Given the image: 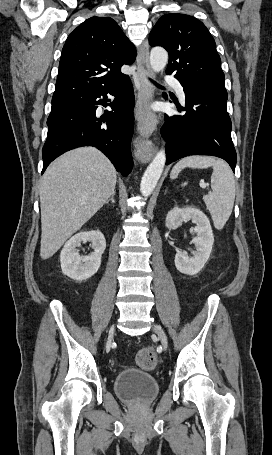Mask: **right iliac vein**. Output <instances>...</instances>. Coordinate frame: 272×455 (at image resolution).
Segmentation results:
<instances>
[{"label": "right iliac vein", "mask_w": 272, "mask_h": 455, "mask_svg": "<svg viewBox=\"0 0 272 455\" xmlns=\"http://www.w3.org/2000/svg\"><path fill=\"white\" fill-rule=\"evenodd\" d=\"M114 326H112L110 332H109V337H108V341H107V346H110L111 343H112V339H113V334H114Z\"/></svg>", "instance_id": "obj_1"}]
</instances>
